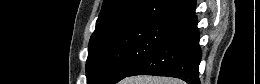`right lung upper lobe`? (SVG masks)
<instances>
[{
    "mask_svg": "<svg viewBox=\"0 0 260 84\" xmlns=\"http://www.w3.org/2000/svg\"><path fill=\"white\" fill-rule=\"evenodd\" d=\"M195 0H104L90 42L136 23L177 26L195 13Z\"/></svg>",
    "mask_w": 260,
    "mask_h": 84,
    "instance_id": "right-lung-upper-lobe-1",
    "label": "right lung upper lobe"
}]
</instances>
